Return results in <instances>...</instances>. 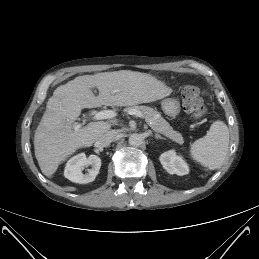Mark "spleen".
Segmentation results:
<instances>
[{
  "instance_id": "1",
  "label": "spleen",
  "mask_w": 259,
  "mask_h": 259,
  "mask_svg": "<svg viewBox=\"0 0 259 259\" xmlns=\"http://www.w3.org/2000/svg\"><path fill=\"white\" fill-rule=\"evenodd\" d=\"M229 130L220 120L213 122L206 136L196 140L190 146V155L204 167L215 170L219 168L228 151Z\"/></svg>"
}]
</instances>
